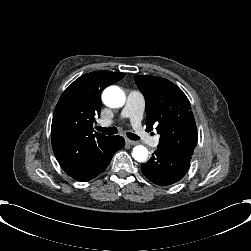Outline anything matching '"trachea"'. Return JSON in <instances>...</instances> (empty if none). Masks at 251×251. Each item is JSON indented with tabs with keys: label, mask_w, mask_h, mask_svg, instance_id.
Listing matches in <instances>:
<instances>
[{
	"label": "trachea",
	"mask_w": 251,
	"mask_h": 251,
	"mask_svg": "<svg viewBox=\"0 0 251 251\" xmlns=\"http://www.w3.org/2000/svg\"><path fill=\"white\" fill-rule=\"evenodd\" d=\"M96 129L104 134H107V135H114L117 133V128L116 127H108V128H103V127H96ZM127 137L131 140H140L141 137L134 134V133H131V132H128L127 133Z\"/></svg>",
	"instance_id": "obj_1"
}]
</instances>
